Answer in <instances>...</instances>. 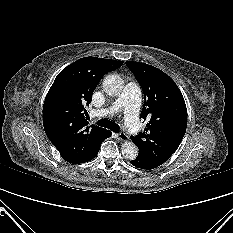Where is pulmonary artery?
Wrapping results in <instances>:
<instances>
[{"label":"pulmonary artery","instance_id":"pulmonary-artery-1","mask_svg":"<svg viewBox=\"0 0 233 233\" xmlns=\"http://www.w3.org/2000/svg\"><path fill=\"white\" fill-rule=\"evenodd\" d=\"M140 104V88L137 83H128L121 94L115 99L112 106L108 109H102L94 112L96 116H105L114 114L123 109L125 114V124L129 132L137 135L140 131L138 121V111Z\"/></svg>","mask_w":233,"mask_h":233}]
</instances>
